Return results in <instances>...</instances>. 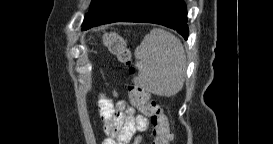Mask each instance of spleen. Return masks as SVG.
<instances>
[{"label":"spleen","mask_w":273,"mask_h":144,"mask_svg":"<svg viewBox=\"0 0 273 144\" xmlns=\"http://www.w3.org/2000/svg\"><path fill=\"white\" fill-rule=\"evenodd\" d=\"M139 70L134 82L159 96L176 95L184 85L186 56L181 41L163 29L154 28L135 49Z\"/></svg>","instance_id":"obj_1"}]
</instances>
